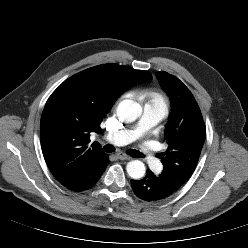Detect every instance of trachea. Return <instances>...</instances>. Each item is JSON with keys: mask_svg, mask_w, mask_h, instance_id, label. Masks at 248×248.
<instances>
[{"mask_svg": "<svg viewBox=\"0 0 248 248\" xmlns=\"http://www.w3.org/2000/svg\"><path fill=\"white\" fill-rule=\"evenodd\" d=\"M104 150L107 153H111L115 151V147L112 146L111 144H106L104 146ZM130 156L134 157V158H141L142 157V153H140L139 151L135 150V149H130L127 152Z\"/></svg>", "mask_w": 248, "mask_h": 248, "instance_id": "1", "label": "trachea"}]
</instances>
